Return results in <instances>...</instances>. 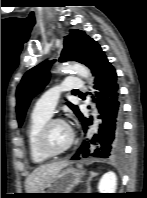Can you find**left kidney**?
I'll list each match as a JSON object with an SVG mask.
<instances>
[{"label":"left kidney","instance_id":"1","mask_svg":"<svg viewBox=\"0 0 147 198\" xmlns=\"http://www.w3.org/2000/svg\"><path fill=\"white\" fill-rule=\"evenodd\" d=\"M117 187V177L112 171L105 173L98 184L100 193H115Z\"/></svg>","mask_w":147,"mask_h":198}]
</instances>
